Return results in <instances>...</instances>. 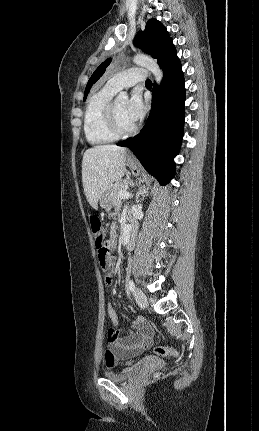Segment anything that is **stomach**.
<instances>
[{
  "label": "stomach",
  "mask_w": 259,
  "mask_h": 431,
  "mask_svg": "<svg viewBox=\"0 0 259 431\" xmlns=\"http://www.w3.org/2000/svg\"><path fill=\"white\" fill-rule=\"evenodd\" d=\"M128 165L130 167V169L132 170V172H136V174H139L140 172V168L139 166L133 162V161H129ZM100 206L105 209V210H109L112 207V203L110 200V189H108L100 198Z\"/></svg>",
  "instance_id": "1"
}]
</instances>
